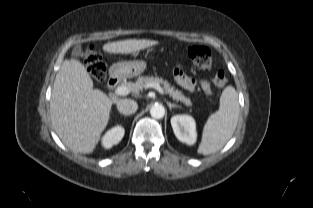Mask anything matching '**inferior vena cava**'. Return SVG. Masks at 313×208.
Returning <instances> with one entry per match:
<instances>
[{
  "label": "inferior vena cava",
  "instance_id": "inferior-vena-cava-1",
  "mask_svg": "<svg viewBox=\"0 0 313 208\" xmlns=\"http://www.w3.org/2000/svg\"><path fill=\"white\" fill-rule=\"evenodd\" d=\"M138 105L134 100L121 99L117 101V109L121 114L131 115L137 111Z\"/></svg>",
  "mask_w": 313,
  "mask_h": 208
}]
</instances>
